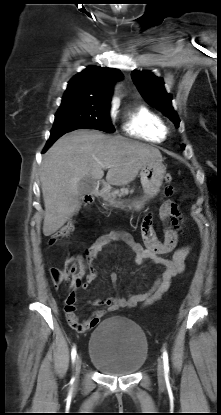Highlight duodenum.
<instances>
[{
    "mask_svg": "<svg viewBox=\"0 0 221 415\" xmlns=\"http://www.w3.org/2000/svg\"><path fill=\"white\" fill-rule=\"evenodd\" d=\"M105 191V184L103 182H98L89 196H86L85 202L87 205L92 204L95 198L101 196Z\"/></svg>",
    "mask_w": 221,
    "mask_h": 415,
    "instance_id": "410a0bca",
    "label": "duodenum"
}]
</instances>
